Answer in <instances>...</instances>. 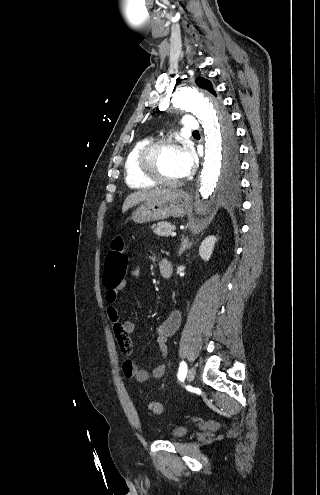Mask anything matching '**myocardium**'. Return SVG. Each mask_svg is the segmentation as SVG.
<instances>
[{
	"label": "myocardium",
	"instance_id": "obj_1",
	"mask_svg": "<svg viewBox=\"0 0 320 495\" xmlns=\"http://www.w3.org/2000/svg\"><path fill=\"white\" fill-rule=\"evenodd\" d=\"M168 146L184 148L185 144L182 139L170 136L151 141L139 154L138 169L143 176L153 181L155 184L175 186L179 184L181 180H172L161 176L156 167L157 154Z\"/></svg>",
	"mask_w": 320,
	"mask_h": 495
}]
</instances>
